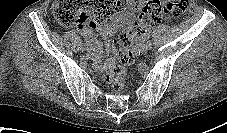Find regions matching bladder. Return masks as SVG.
Instances as JSON below:
<instances>
[{
    "label": "bladder",
    "mask_w": 227,
    "mask_h": 133,
    "mask_svg": "<svg viewBox=\"0 0 227 133\" xmlns=\"http://www.w3.org/2000/svg\"><path fill=\"white\" fill-rule=\"evenodd\" d=\"M131 19H132V15H128V16H127V22H130Z\"/></svg>",
    "instance_id": "31cf9c89"
}]
</instances>
